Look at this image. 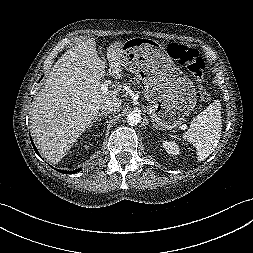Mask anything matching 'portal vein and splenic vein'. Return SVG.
I'll return each instance as SVG.
<instances>
[{
	"instance_id": "obj_1",
	"label": "portal vein and splenic vein",
	"mask_w": 253,
	"mask_h": 253,
	"mask_svg": "<svg viewBox=\"0 0 253 253\" xmlns=\"http://www.w3.org/2000/svg\"><path fill=\"white\" fill-rule=\"evenodd\" d=\"M109 81H104L102 84H101V86H100V89H101V91L103 92V93H106V92H108V86H109Z\"/></svg>"
}]
</instances>
